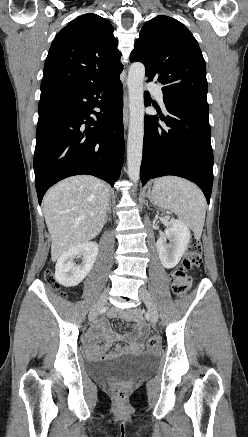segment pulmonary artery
<instances>
[{"label":"pulmonary artery","mask_w":248,"mask_h":437,"mask_svg":"<svg viewBox=\"0 0 248 437\" xmlns=\"http://www.w3.org/2000/svg\"><path fill=\"white\" fill-rule=\"evenodd\" d=\"M148 89L155 95L159 103L164 106V95L162 90L153 84L148 85Z\"/></svg>","instance_id":"1"}]
</instances>
